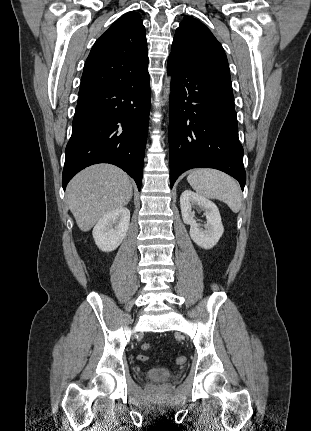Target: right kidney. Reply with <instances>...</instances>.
Segmentation results:
<instances>
[{"label":"right kidney","instance_id":"ca27d5eb","mask_svg":"<svg viewBox=\"0 0 311 431\" xmlns=\"http://www.w3.org/2000/svg\"><path fill=\"white\" fill-rule=\"evenodd\" d=\"M130 212L127 208H117L100 217L93 227L96 245L102 251H113L122 243L129 227Z\"/></svg>","mask_w":311,"mask_h":431}]
</instances>
